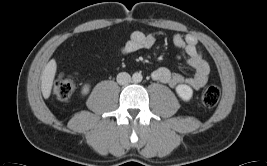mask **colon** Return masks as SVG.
Segmentation results:
<instances>
[{
  "mask_svg": "<svg viewBox=\"0 0 267 166\" xmlns=\"http://www.w3.org/2000/svg\"><path fill=\"white\" fill-rule=\"evenodd\" d=\"M75 90V83L69 77L58 79L54 84V95L61 102H68ZM220 89L216 85H209L205 87L201 94V101L207 107L215 106L220 99Z\"/></svg>",
  "mask_w": 267,
  "mask_h": 166,
  "instance_id": "5ec220e1",
  "label": "colon"
}]
</instances>
